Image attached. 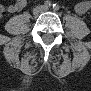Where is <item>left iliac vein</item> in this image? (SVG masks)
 Masks as SVG:
<instances>
[{
  "mask_svg": "<svg viewBox=\"0 0 91 91\" xmlns=\"http://www.w3.org/2000/svg\"><path fill=\"white\" fill-rule=\"evenodd\" d=\"M48 10H49L48 7H44V8H43V11H48Z\"/></svg>",
  "mask_w": 91,
  "mask_h": 91,
  "instance_id": "obj_1",
  "label": "left iliac vein"
}]
</instances>
